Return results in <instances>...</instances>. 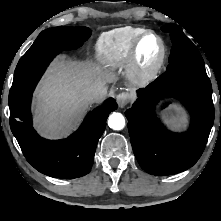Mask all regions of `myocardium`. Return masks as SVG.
<instances>
[{"mask_svg": "<svg viewBox=\"0 0 221 221\" xmlns=\"http://www.w3.org/2000/svg\"><path fill=\"white\" fill-rule=\"evenodd\" d=\"M148 36H154L160 43V54L157 61L150 67H144L141 64L139 51L142 42ZM167 54V47L163 38L153 30L144 31L134 42L130 52L128 68L132 79L139 84H147L153 81L160 73Z\"/></svg>", "mask_w": 221, "mask_h": 221, "instance_id": "1", "label": "myocardium"}]
</instances>
